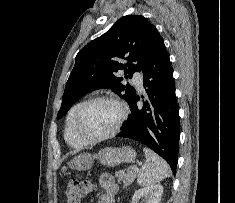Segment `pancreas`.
<instances>
[{"instance_id":"pancreas-1","label":"pancreas","mask_w":235,"mask_h":203,"mask_svg":"<svg viewBox=\"0 0 235 203\" xmlns=\"http://www.w3.org/2000/svg\"><path fill=\"white\" fill-rule=\"evenodd\" d=\"M116 177H118L119 180H122L124 182L125 186L130 185L135 177H136V171H134L133 167H129L125 170H120L115 173Z\"/></svg>"}]
</instances>
